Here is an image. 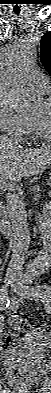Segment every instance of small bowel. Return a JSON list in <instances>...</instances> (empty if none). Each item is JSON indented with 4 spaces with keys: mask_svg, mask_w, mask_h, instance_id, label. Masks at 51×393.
Here are the masks:
<instances>
[{
    "mask_svg": "<svg viewBox=\"0 0 51 393\" xmlns=\"http://www.w3.org/2000/svg\"><path fill=\"white\" fill-rule=\"evenodd\" d=\"M24 301L18 297H13L10 299L9 301V307L8 309L11 311H16L21 305H23ZM2 318V316H1ZM37 337L41 338L42 337V333L38 332L37 333Z\"/></svg>",
    "mask_w": 51,
    "mask_h": 393,
    "instance_id": "small-bowel-1",
    "label": "small bowel"
}]
</instances>
